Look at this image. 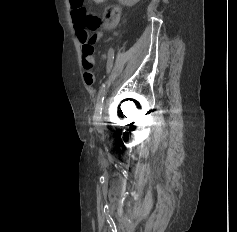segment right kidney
Masks as SVG:
<instances>
[{
	"label": "right kidney",
	"mask_w": 237,
	"mask_h": 232,
	"mask_svg": "<svg viewBox=\"0 0 237 232\" xmlns=\"http://www.w3.org/2000/svg\"><path fill=\"white\" fill-rule=\"evenodd\" d=\"M122 5L125 6H133L135 5L137 2H139L140 0H118Z\"/></svg>",
	"instance_id": "right-kidney-1"
}]
</instances>
